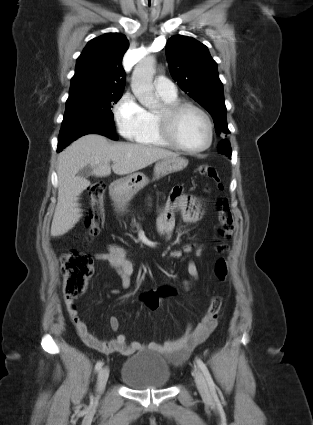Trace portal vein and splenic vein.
<instances>
[{"instance_id": "18ae733b", "label": "portal vein and splenic vein", "mask_w": 313, "mask_h": 425, "mask_svg": "<svg viewBox=\"0 0 313 425\" xmlns=\"http://www.w3.org/2000/svg\"><path fill=\"white\" fill-rule=\"evenodd\" d=\"M117 161H118L117 159H114V160H113V162H117Z\"/></svg>"}]
</instances>
